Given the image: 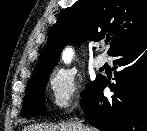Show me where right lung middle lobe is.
Wrapping results in <instances>:
<instances>
[{
    "label": "right lung middle lobe",
    "instance_id": "obj_1",
    "mask_svg": "<svg viewBox=\"0 0 147 131\" xmlns=\"http://www.w3.org/2000/svg\"><path fill=\"white\" fill-rule=\"evenodd\" d=\"M51 71L52 69L33 75L29 80L25 98L23 101V108L21 111L22 115H28L31 113L45 111L44 89L47 84ZM93 82L89 83L86 86V89L82 93V96L85 95V93L87 92V90L89 89V87L92 85Z\"/></svg>",
    "mask_w": 147,
    "mask_h": 131
}]
</instances>
